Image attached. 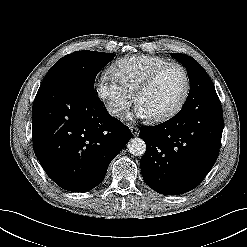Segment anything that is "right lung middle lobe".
<instances>
[{
    "instance_id": "1",
    "label": "right lung middle lobe",
    "mask_w": 247,
    "mask_h": 247,
    "mask_svg": "<svg viewBox=\"0 0 247 247\" xmlns=\"http://www.w3.org/2000/svg\"><path fill=\"white\" fill-rule=\"evenodd\" d=\"M115 54L96 51H77L59 59L48 71L41 85L60 79H77L94 89L100 70Z\"/></svg>"
}]
</instances>
